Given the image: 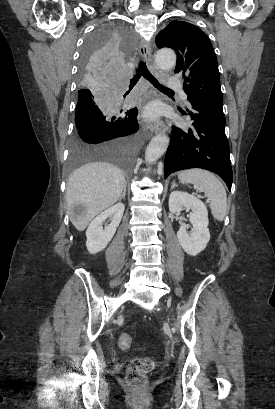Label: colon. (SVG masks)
Wrapping results in <instances>:
<instances>
[{
  "mask_svg": "<svg viewBox=\"0 0 275 409\" xmlns=\"http://www.w3.org/2000/svg\"><path fill=\"white\" fill-rule=\"evenodd\" d=\"M121 349L127 350L133 346V338L129 334H123L118 338ZM154 367V361L150 356H140L132 359L127 367V380L130 384L143 385Z\"/></svg>",
  "mask_w": 275,
  "mask_h": 409,
  "instance_id": "5ec220e1",
  "label": "colon"
}]
</instances>
